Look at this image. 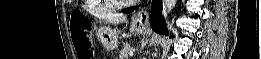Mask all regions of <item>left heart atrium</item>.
<instances>
[{"instance_id":"obj_1","label":"left heart atrium","mask_w":261,"mask_h":59,"mask_svg":"<svg viewBox=\"0 0 261 59\" xmlns=\"http://www.w3.org/2000/svg\"><path fill=\"white\" fill-rule=\"evenodd\" d=\"M129 2H135L136 0H128Z\"/></svg>"}]
</instances>
